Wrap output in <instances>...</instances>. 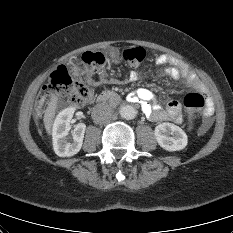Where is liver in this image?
Masks as SVG:
<instances>
[{
	"label": "liver",
	"instance_id": "6515ba94",
	"mask_svg": "<svg viewBox=\"0 0 233 233\" xmlns=\"http://www.w3.org/2000/svg\"><path fill=\"white\" fill-rule=\"evenodd\" d=\"M57 101H58L57 96H54L51 98V101L48 104V107L46 108L44 118H43L46 132L49 135L51 134V131H52L53 119L55 117L56 109H57Z\"/></svg>",
	"mask_w": 233,
	"mask_h": 233
}]
</instances>
